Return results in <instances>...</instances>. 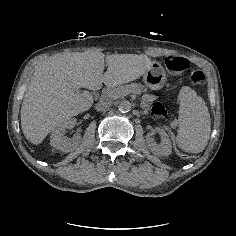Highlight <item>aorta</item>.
Instances as JSON below:
<instances>
[{"label":"aorta","mask_w":236,"mask_h":236,"mask_svg":"<svg viewBox=\"0 0 236 236\" xmlns=\"http://www.w3.org/2000/svg\"><path fill=\"white\" fill-rule=\"evenodd\" d=\"M131 103L127 100H123L119 103L118 105V110L121 112V113H127L131 110Z\"/></svg>","instance_id":"aorta-1"}]
</instances>
